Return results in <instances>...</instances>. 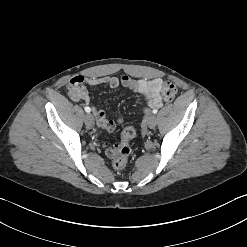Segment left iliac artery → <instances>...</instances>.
I'll return each mask as SVG.
<instances>
[{"instance_id":"obj_1","label":"left iliac artery","mask_w":247,"mask_h":247,"mask_svg":"<svg viewBox=\"0 0 247 247\" xmlns=\"http://www.w3.org/2000/svg\"><path fill=\"white\" fill-rule=\"evenodd\" d=\"M152 112H153L154 114H156V113L158 112V110H157V109H154Z\"/></svg>"}]
</instances>
